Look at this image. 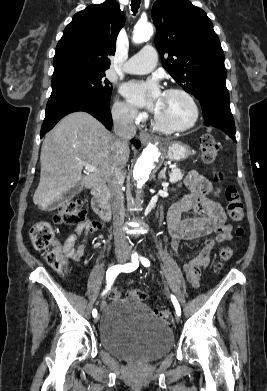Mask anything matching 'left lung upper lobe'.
<instances>
[{
  "instance_id": "left-lung-upper-lobe-1",
  "label": "left lung upper lobe",
  "mask_w": 267,
  "mask_h": 391,
  "mask_svg": "<svg viewBox=\"0 0 267 391\" xmlns=\"http://www.w3.org/2000/svg\"><path fill=\"white\" fill-rule=\"evenodd\" d=\"M152 19L162 65L186 92L198 99L229 95L224 53L202 9L187 0H158L152 8ZM164 54H169L167 59Z\"/></svg>"
}]
</instances>
